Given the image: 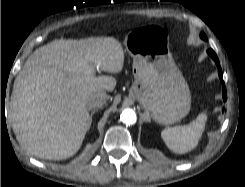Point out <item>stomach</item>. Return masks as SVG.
Returning <instances> with one entry per match:
<instances>
[{
  "mask_svg": "<svg viewBox=\"0 0 245 187\" xmlns=\"http://www.w3.org/2000/svg\"><path fill=\"white\" fill-rule=\"evenodd\" d=\"M133 58L134 83L130 96L160 124L180 121L190 111L188 84L169 51V34L156 24L131 31L125 38Z\"/></svg>",
  "mask_w": 245,
  "mask_h": 187,
  "instance_id": "stomach-1",
  "label": "stomach"
}]
</instances>
